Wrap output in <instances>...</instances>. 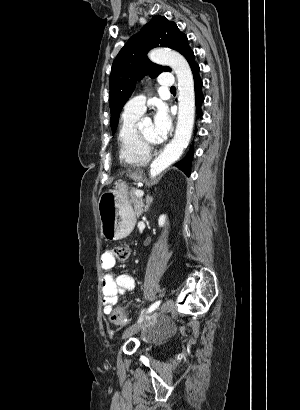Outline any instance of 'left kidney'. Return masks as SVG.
<instances>
[{"label": "left kidney", "mask_w": 300, "mask_h": 410, "mask_svg": "<svg viewBox=\"0 0 300 410\" xmlns=\"http://www.w3.org/2000/svg\"><path fill=\"white\" fill-rule=\"evenodd\" d=\"M166 222V216L165 215H161L158 219V224L159 226H163Z\"/></svg>", "instance_id": "1"}]
</instances>
